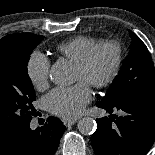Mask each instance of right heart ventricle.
Segmentation results:
<instances>
[{
  "label": "right heart ventricle",
  "mask_w": 155,
  "mask_h": 155,
  "mask_svg": "<svg viewBox=\"0 0 155 155\" xmlns=\"http://www.w3.org/2000/svg\"><path fill=\"white\" fill-rule=\"evenodd\" d=\"M99 43V40L90 36H77L61 43L57 50L76 64Z\"/></svg>",
  "instance_id": "1"
}]
</instances>
